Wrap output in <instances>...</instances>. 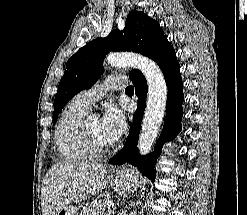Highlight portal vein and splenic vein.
<instances>
[{"instance_id": "obj_1", "label": "portal vein and splenic vein", "mask_w": 247, "mask_h": 215, "mask_svg": "<svg viewBox=\"0 0 247 215\" xmlns=\"http://www.w3.org/2000/svg\"><path fill=\"white\" fill-rule=\"evenodd\" d=\"M106 205L108 206V207H111V206H113L112 204H110V203H106Z\"/></svg>"}]
</instances>
